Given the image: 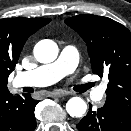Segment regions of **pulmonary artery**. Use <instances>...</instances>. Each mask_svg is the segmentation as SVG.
Wrapping results in <instances>:
<instances>
[{"instance_id":"e3ab8cb5","label":"pulmonary artery","mask_w":131,"mask_h":131,"mask_svg":"<svg viewBox=\"0 0 131 131\" xmlns=\"http://www.w3.org/2000/svg\"><path fill=\"white\" fill-rule=\"evenodd\" d=\"M79 54L72 45L65 46L58 59L52 63L41 65L33 70L20 72L16 75L14 83L18 87L23 86H47L51 85L66 75L73 73L78 65ZM106 87L100 85L91 92V98L99 101L103 98Z\"/></svg>"}]
</instances>
